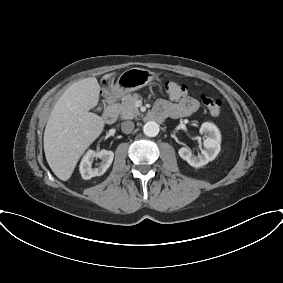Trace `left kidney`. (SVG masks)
<instances>
[{
  "label": "left kidney",
  "mask_w": 283,
  "mask_h": 283,
  "mask_svg": "<svg viewBox=\"0 0 283 283\" xmlns=\"http://www.w3.org/2000/svg\"><path fill=\"white\" fill-rule=\"evenodd\" d=\"M200 133L205 135L203 145L205 150L201 155L195 156L188 147L179 149V156L195 168L202 167L208 162L213 161L220 152L221 134L217 126L213 123L205 122L201 125Z\"/></svg>",
  "instance_id": "obj_1"
}]
</instances>
